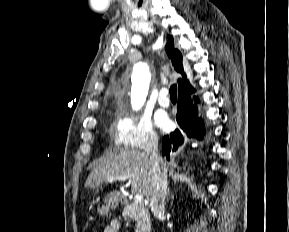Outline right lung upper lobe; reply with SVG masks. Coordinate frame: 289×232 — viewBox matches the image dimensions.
<instances>
[{
    "instance_id": "right-lung-upper-lobe-1",
    "label": "right lung upper lobe",
    "mask_w": 289,
    "mask_h": 232,
    "mask_svg": "<svg viewBox=\"0 0 289 232\" xmlns=\"http://www.w3.org/2000/svg\"><path fill=\"white\" fill-rule=\"evenodd\" d=\"M168 38L169 41L166 45V52L169 58L172 59V64L176 71L182 74V79L178 80V93L181 94L183 92L193 90L189 81L186 78V74L183 72L182 54L177 49L173 50V39L170 36Z\"/></svg>"
}]
</instances>
